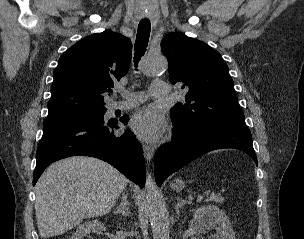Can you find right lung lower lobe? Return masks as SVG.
<instances>
[{"label":"right lung lower lobe","mask_w":304,"mask_h":239,"mask_svg":"<svg viewBox=\"0 0 304 239\" xmlns=\"http://www.w3.org/2000/svg\"><path fill=\"white\" fill-rule=\"evenodd\" d=\"M120 121L126 124L128 116ZM116 120L60 123L43 126L36 152L33 185L51 163L75 155L92 156L108 162L128 179L144 187L145 163L140 143L130 131L115 136Z\"/></svg>","instance_id":"1"}]
</instances>
